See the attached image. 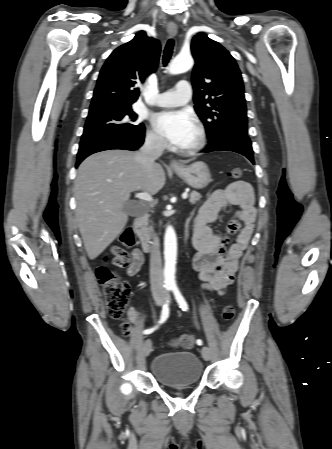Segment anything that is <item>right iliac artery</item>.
Returning <instances> with one entry per match:
<instances>
[{"instance_id": "right-iliac-artery-1", "label": "right iliac artery", "mask_w": 332, "mask_h": 449, "mask_svg": "<svg viewBox=\"0 0 332 449\" xmlns=\"http://www.w3.org/2000/svg\"><path fill=\"white\" fill-rule=\"evenodd\" d=\"M167 290H170V289L168 288ZM168 317H169V301L167 299L166 302L164 303L163 307H162L159 324L164 323L167 320ZM157 327L158 326H155V327L150 328V329H146V330L143 331V333L144 334H151L155 329H157Z\"/></svg>"}]
</instances>
